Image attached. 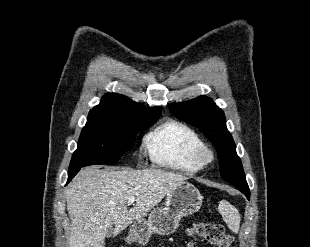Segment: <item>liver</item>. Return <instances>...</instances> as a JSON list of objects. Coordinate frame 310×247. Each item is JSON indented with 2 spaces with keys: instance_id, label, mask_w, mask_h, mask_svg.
I'll use <instances>...</instances> for the list:
<instances>
[{
  "instance_id": "1",
  "label": "liver",
  "mask_w": 310,
  "mask_h": 247,
  "mask_svg": "<svg viewBox=\"0 0 310 247\" xmlns=\"http://www.w3.org/2000/svg\"><path fill=\"white\" fill-rule=\"evenodd\" d=\"M187 177L161 169L122 170L88 167L66 191L71 219L69 247H104L107 231L115 234L147 214ZM136 204L128 210V198Z\"/></svg>"
}]
</instances>
